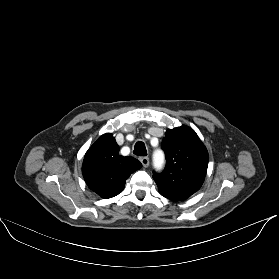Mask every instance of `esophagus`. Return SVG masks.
I'll return each instance as SVG.
<instances>
[{
	"label": "esophagus",
	"mask_w": 279,
	"mask_h": 279,
	"mask_svg": "<svg viewBox=\"0 0 279 279\" xmlns=\"http://www.w3.org/2000/svg\"><path fill=\"white\" fill-rule=\"evenodd\" d=\"M140 161L144 167H148L149 165V158L148 157H141Z\"/></svg>",
	"instance_id": "1"
}]
</instances>
